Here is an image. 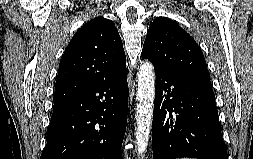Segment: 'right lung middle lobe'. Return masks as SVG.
<instances>
[{
    "mask_svg": "<svg viewBox=\"0 0 253 159\" xmlns=\"http://www.w3.org/2000/svg\"><path fill=\"white\" fill-rule=\"evenodd\" d=\"M57 107H59V106L54 105V108H57Z\"/></svg>",
    "mask_w": 253,
    "mask_h": 159,
    "instance_id": "obj_1",
    "label": "right lung middle lobe"
}]
</instances>
